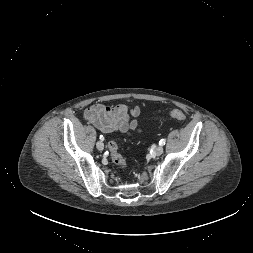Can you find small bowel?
Masks as SVG:
<instances>
[{"mask_svg": "<svg viewBox=\"0 0 253 253\" xmlns=\"http://www.w3.org/2000/svg\"><path fill=\"white\" fill-rule=\"evenodd\" d=\"M139 107H129L124 104L106 106L93 104L84 112L85 119L105 134L121 132L128 134L139 130Z\"/></svg>", "mask_w": 253, "mask_h": 253, "instance_id": "small-bowel-1", "label": "small bowel"}]
</instances>
